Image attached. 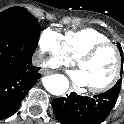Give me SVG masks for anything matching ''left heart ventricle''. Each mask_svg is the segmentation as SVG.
Wrapping results in <instances>:
<instances>
[{
	"label": "left heart ventricle",
	"mask_w": 124,
	"mask_h": 124,
	"mask_svg": "<svg viewBox=\"0 0 124 124\" xmlns=\"http://www.w3.org/2000/svg\"><path fill=\"white\" fill-rule=\"evenodd\" d=\"M116 69V55L113 49H105L93 59L84 62L79 70L83 72L87 87H98L107 83Z\"/></svg>",
	"instance_id": "b2bd125f"
}]
</instances>
